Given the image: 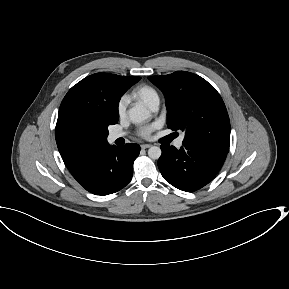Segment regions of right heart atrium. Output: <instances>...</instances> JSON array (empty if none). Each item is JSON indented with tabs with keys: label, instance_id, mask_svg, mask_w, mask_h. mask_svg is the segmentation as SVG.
<instances>
[{
	"label": "right heart atrium",
	"instance_id": "right-heart-atrium-1",
	"mask_svg": "<svg viewBox=\"0 0 289 289\" xmlns=\"http://www.w3.org/2000/svg\"><path fill=\"white\" fill-rule=\"evenodd\" d=\"M127 105H128V99L127 97H122L117 105V112L119 116H123L126 113V109H127Z\"/></svg>",
	"mask_w": 289,
	"mask_h": 289
}]
</instances>
